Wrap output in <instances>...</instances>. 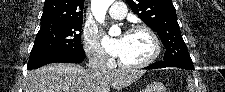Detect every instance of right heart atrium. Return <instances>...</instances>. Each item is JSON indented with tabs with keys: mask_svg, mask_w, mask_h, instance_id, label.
Returning a JSON list of instances; mask_svg holds the SVG:
<instances>
[{
	"mask_svg": "<svg viewBox=\"0 0 225 92\" xmlns=\"http://www.w3.org/2000/svg\"><path fill=\"white\" fill-rule=\"evenodd\" d=\"M83 43L88 57L101 65L107 63L106 54L97 39V32L94 28L86 27L83 32Z\"/></svg>",
	"mask_w": 225,
	"mask_h": 92,
	"instance_id": "d8ad5b80",
	"label": "right heart atrium"
}]
</instances>
